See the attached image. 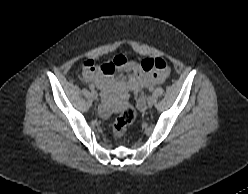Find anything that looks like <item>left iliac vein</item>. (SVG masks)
Wrapping results in <instances>:
<instances>
[{
    "label": "left iliac vein",
    "mask_w": 248,
    "mask_h": 194,
    "mask_svg": "<svg viewBox=\"0 0 248 194\" xmlns=\"http://www.w3.org/2000/svg\"><path fill=\"white\" fill-rule=\"evenodd\" d=\"M154 103H155V98L153 96H149L147 98V105H148V107H152L154 105Z\"/></svg>",
    "instance_id": "1"
}]
</instances>
